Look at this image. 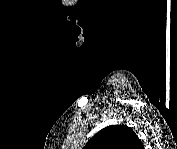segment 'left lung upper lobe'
Returning a JSON list of instances; mask_svg holds the SVG:
<instances>
[{"instance_id":"left-lung-upper-lobe-1","label":"left lung upper lobe","mask_w":177,"mask_h":149,"mask_svg":"<svg viewBox=\"0 0 177 149\" xmlns=\"http://www.w3.org/2000/svg\"><path fill=\"white\" fill-rule=\"evenodd\" d=\"M142 142L126 125H111L95 134L85 149H141Z\"/></svg>"}]
</instances>
